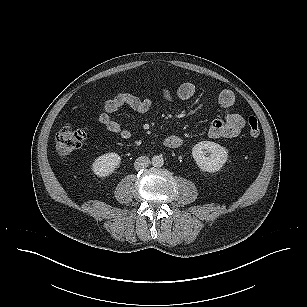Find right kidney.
Returning a JSON list of instances; mask_svg holds the SVG:
<instances>
[{
    "instance_id": "1",
    "label": "right kidney",
    "mask_w": 307,
    "mask_h": 307,
    "mask_svg": "<svg viewBox=\"0 0 307 307\" xmlns=\"http://www.w3.org/2000/svg\"><path fill=\"white\" fill-rule=\"evenodd\" d=\"M120 163L121 157L117 153H106L94 160L92 171L99 177L109 176L120 165Z\"/></svg>"
}]
</instances>
